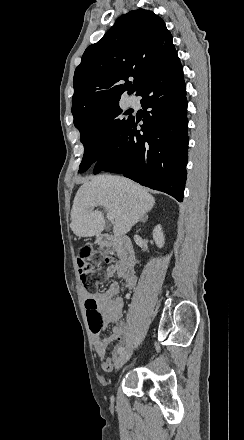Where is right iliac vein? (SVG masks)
<instances>
[{
	"label": "right iliac vein",
	"instance_id": "obj_1",
	"mask_svg": "<svg viewBox=\"0 0 244 440\" xmlns=\"http://www.w3.org/2000/svg\"><path fill=\"white\" fill-rule=\"evenodd\" d=\"M131 351L123 352L115 361L116 369L119 370L131 357Z\"/></svg>",
	"mask_w": 244,
	"mask_h": 440
}]
</instances>
